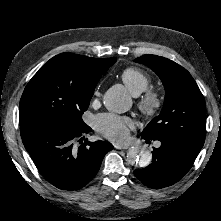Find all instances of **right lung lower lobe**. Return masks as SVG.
I'll use <instances>...</instances> for the list:
<instances>
[{
	"label": "right lung lower lobe",
	"mask_w": 221,
	"mask_h": 221,
	"mask_svg": "<svg viewBox=\"0 0 221 221\" xmlns=\"http://www.w3.org/2000/svg\"><path fill=\"white\" fill-rule=\"evenodd\" d=\"M90 130L87 125L39 123L21 130V137L42 176L53 186L72 191L94 178L105 154L113 149L104 141H83L82 135Z\"/></svg>",
	"instance_id": "right-lung-lower-lobe-1"
}]
</instances>
